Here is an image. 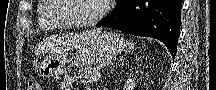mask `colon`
Instances as JSON below:
<instances>
[{
    "mask_svg": "<svg viewBox=\"0 0 216 90\" xmlns=\"http://www.w3.org/2000/svg\"><path fill=\"white\" fill-rule=\"evenodd\" d=\"M27 90H41L39 83L35 80H31L27 84Z\"/></svg>",
    "mask_w": 216,
    "mask_h": 90,
    "instance_id": "5ec220e1",
    "label": "colon"
}]
</instances>
